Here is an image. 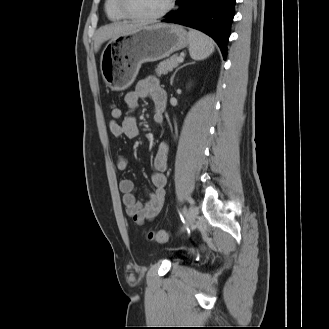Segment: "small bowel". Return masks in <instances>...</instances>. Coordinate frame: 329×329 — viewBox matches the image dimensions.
<instances>
[{"mask_svg": "<svg viewBox=\"0 0 329 329\" xmlns=\"http://www.w3.org/2000/svg\"><path fill=\"white\" fill-rule=\"evenodd\" d=\"M150 99L154 110V120L158 124L164 122L163 112L166 106L167 95L160 87L155 77H148L142 80L135 90L125 95L124 101L130 111L136 109L139 101ZM109 130L115 137L125 136L135 139L139 136L140 130L136 119L132 115L125 116L122 120H111ZM168 165V145L161 143L154 158L155 171L151 174V182L154 192L148 195V199L143 202L134 193V184L130 179L123 178L119 183L122 200L126 213L137 223L143 224L145 221L153 219L161 211L165 200L166 176L165 170ZM129 167L127 157L120 155L116 161V168L119 171H126Z\"/></svg>", "mask_w": 329, "mask_h": 329, "instance_id": "c3829d8e", "label": "small bowel"}]
</instances>
